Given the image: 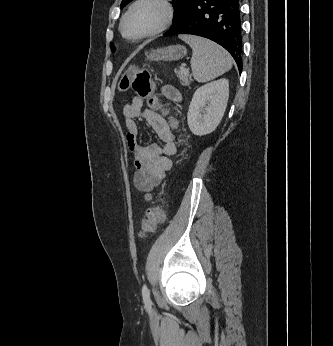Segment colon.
Segmentation results:
<instances>
[{"label": "colon", "instance_id": "5ec220e1", "mask_svg": "<svg viewBox=\"0 0 333 346\" xmlns=\"http://www.w3.org/2000/svg\"><path fill=\"white\" fill-rule=\"evenodd\" d=\"M122 91L131 89L140 98L147 99L153 106L157 101L155 84L151 74L146 68L130 67L125 72L119 85ZM185 140H182L184 143ZM164 221V212L159 204L147 209L140 227V236L144 237L154 232L159 224Z\"/></svg>", "mask_w": 333, "mask_h": 346}]
</instances>
